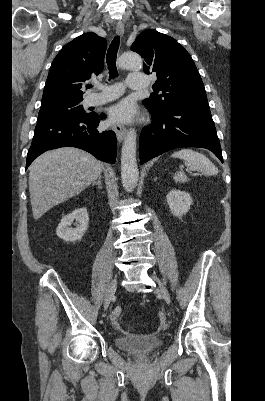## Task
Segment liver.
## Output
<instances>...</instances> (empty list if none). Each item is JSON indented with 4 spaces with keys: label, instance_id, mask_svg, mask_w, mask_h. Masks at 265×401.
I'll return each instance as SVG.
<instances>
[{
    "label": "liver",
    "instance_id": "liver-1",
    "mask_svg": "<svg viewBox=\"0 0 265 401\" xmlns=\"http://www.w3.org/2000/svg\"><path fill=\"white\" fill-rule=\"evenodd\" d=\"M103 168V162L92 154L72 146L40 154L29 166L33 219L37 221L52 207L82 192L101 176Z\"/></svg>",
    "mask_w": 265,
    "mask_h": 401
}]
</instances>
